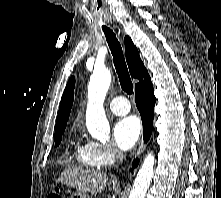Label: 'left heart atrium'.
Listing matches in <instances>:
<instances>
[{
    "instance_id": "obj_1",
    "label": "left heart atrium",
    "mask_w": 221,
    "mask_h": 198,
    "mask_svg": "<svg viewBox=\"0 0 221 198\" xmlns=\"http://www.w3.org/2000/svg\"><path fill=\"white\" fill-rule=\"evenodd\" d=\"M140 132V122L134 116L120 119L113 129L115 142L122 150L131 149L138 141Z\"/></svg>"
}]
</instances>
